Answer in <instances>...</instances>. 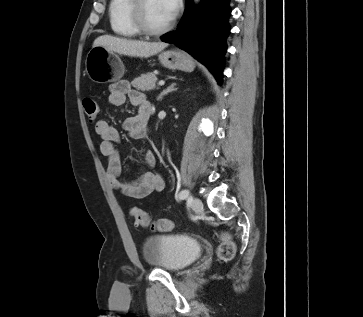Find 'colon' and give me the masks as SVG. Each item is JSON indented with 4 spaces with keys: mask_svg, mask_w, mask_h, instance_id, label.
<instances>
[{
    "mask_svg": "<svg viewBox=\"0 0 363 317\" xmlns=\"http://www.w3.org/2000/svg\"><path fill=\"white\" fill-rule=\"evenodd\" d=\"M83 108L89 121L93 122L98 116V104L92 98H85L83 100ZM130 215L134 219L135 223L143 227L151 228L155 231H170L174 227L172 220L168 218H162L158 220H152L150 216L143 210L133 207L130 210ZM235 244L231 237L227 233H223L220 236V244L217 248V255L221 260L229 261L235 255Z\"/></svg>",
    "mask_w": 363,
    "mask_h": 317,
    "instance_id": "5ec220e1",
    "label": "colon"
}]
</instances>
